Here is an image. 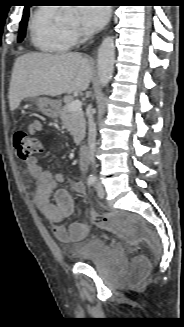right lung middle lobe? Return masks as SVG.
<instances>
[{
    "label": "right lung middle lobe",
    "instance_id": "dd1d6c3e",
    "mask_svg": "<svg viewBox=\"0 0 184 327\" xmlns=\"http://www.w3.org/2000/svg\"><path fill=\"white\" fill-rule=\"evenodd\" d=\"M28 16H29V12H26L23 14V17H22V20H21L20 26H19L18 42H21L26 35V26H27V22H28Z\"/></svg>",
    "mask_w": 184,
    "mask_h": 327
}]
</instances>
